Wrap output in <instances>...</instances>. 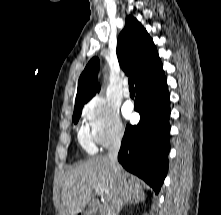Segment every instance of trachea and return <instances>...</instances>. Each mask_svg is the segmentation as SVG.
<instances>
[{
  "mask_svg": "<svg viewBox=\"0 0 221 215\" xmlns=\"http://www.w3.org/2000/svg\"><path fill=\"white\" fill-rule=\"evenodd\" d=\"M128 83H129V88L134 89V83H133V78L132 77L129 78Z\"/></svg>",
  "mask_w": 221,
  "mask_h": 215,
  "instance_id": "obj_1",
  "label": "trachea"
}]
</instances>
